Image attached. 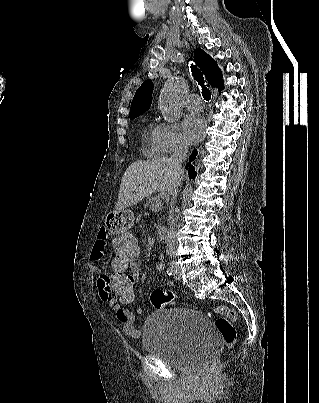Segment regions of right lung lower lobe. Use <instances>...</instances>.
Wrapping results in <instances>:
<instances>
[{"mask_svg":"<svg viewBox=\"0 0 319 403\" xmlns=\"http://www.w3.org/2000/svg\"><path fill=\"white\" fill-rule=\"evenodd\" d=\"M197 150H193L192 154L189 157V161H193L196 158ZM188 171V175L190 178L194 179L196 176L195 168L192 165L187 164L185 167Z\"/></svg>","mask_w":319,"mask_h":403,"instance_id":"obj_1","label":"right lung lower lobe"}]
</instances>
